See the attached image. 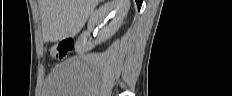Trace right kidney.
<instances>
[{"label":"right kidney","mask_w":232,"mask_h":96,"mask_svg":"<svg viewBox=\"0 0 232 96\" xmlns=\"http://www.w3.org/2000/svg\"><path fill=\"white\" fill-rule=\"evenodd\" d=\"M129 7V0H110L96 10L89 19L87 31L83 32L76 42V52L83 55L93 49L95 45L100 44L112 37L123 23ZM106 15H108L109 18H112L111 22L101 29L98 38L94 42L88 41L87 39L90 36V32L94 28L97 21L102 20Z\"/></svg>","instance_id":"obj_1"}]
</instances>
